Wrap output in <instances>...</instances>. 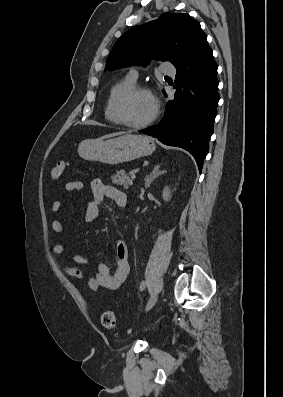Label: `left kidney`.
I'll use <instances>...</instances> for the list:
<instances>
[{"mask_svg":"<svg viewBox=\"0 0 283 397\" xmlns=\"http://www.w3.org/2000/svg\"><path fill=\"white\" fill-rule=\"evenodd\" d=\"M171 192H170V188L168 187V186H166L164 189H163V192H162V198L165 200V201H169L170 199H171Z\"/></svg>","mask_w":283,"mask_h":397,"instance_id":"1","label":"left kidney"}]
</instances>
